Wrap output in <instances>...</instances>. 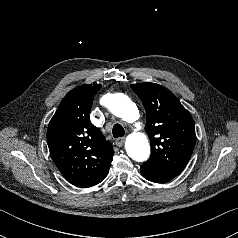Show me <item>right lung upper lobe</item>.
I'll return each instance as SVG.
<instances>
[{"mask_svg": "<svg viewBox=\"0 0 238 238\" xmlns=\"http://www.w3.org/2000/svg\"><path fill=\"white\" fill-rule=\"evenodd\" d=\"M100 84H84L61 101L47 130L50 155L64 176L77 187H87L109 171L112 144L95 127L89 113Z\"/></svg>", "mask_w": 238, "mask_h": 238, "instance_id": "cb5924a9", "label": "right lung upper lobe"}]
</instances>
